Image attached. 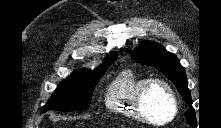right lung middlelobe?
I'll return each instance as SVG.
<instances>
[{
	"label": "right lung middle lobe",
	"mask_w": 221,
	"mask_h": 128,
	"mask_svg": "<svg viewBox=\"0 0 221 128\" xmlns=\"http://www.w3.org/2000/svg\"><path fill=\"white\" fill-rule=\"evenodd\" d=\"M116 59L117 55L110 57L94 71L79 70L72 73L58 85L42 112L50 109L79 111L88 108L94 87Z\"/></svg>",
	"instance_id": "dd1d6c3e"
}]
</instances>
